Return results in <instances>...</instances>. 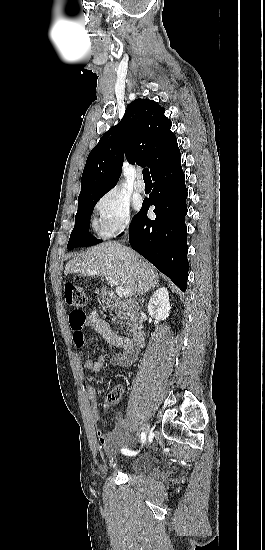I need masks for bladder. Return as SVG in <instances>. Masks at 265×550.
<instances>
[{
    "label": "bladder",
    "instance_id": "bladder-1",
    "mask_svg": "<svg viewBox=\"0 0 265 550\" xmlns=\"http://www.w3.org/2000/svg\"><path fill=\"white\" fill-rule=\"evenodd\" d=\"M128 454L132 456L128 464L130 470L134 472L144 473L151 469L153 461L148 453L144 452L137 456L132 453Z\"/></svg>",
    "mask_w": 265,
    "mask_h": 550
}]
</instances>
